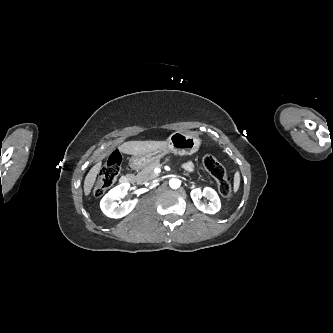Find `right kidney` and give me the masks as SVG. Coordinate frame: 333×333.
<instances>
[{"label":"right kidney","mask_w":333,"mask_h":333,"mask_svg":"<svg viewBox=\"0 0 333 333\" xmlns=\"http://www.w3.org/2000/svg\"><path fill=\"white\" fill-rule=\"evenodd\" d=\"M130 188L129 183H122L112 188L101 200L100 208L102 212L110 218H122L129 214L136 206L138 199L129 200L122 204H117L115 200L127 195Z\"/></svg>","instance_id":"right-kidney-1"}]
</instances>
